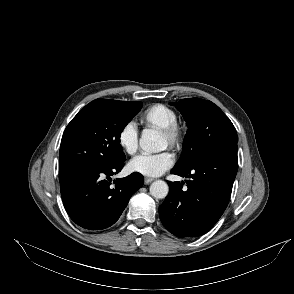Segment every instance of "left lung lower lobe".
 Segmentation results:
<instances>
[{"mask_svg": "<svg viewBox=\"0 0 294 294\" xmlns=\"http://www.w3.org/2000/svg\"><path fill=\"white\" fill-rule=\"evenodd\" d=\"M238 169L237 144H224L207 153L186 170L171 173L191 178L170 182L169 194L159 206L164 227L178 237L207 233L226 209Z\"/></svg>", "mask_w": 294, "mask_h": 294, "instance_id": "obj_1", "label": "left lung lower lobe"}]
</instances>
